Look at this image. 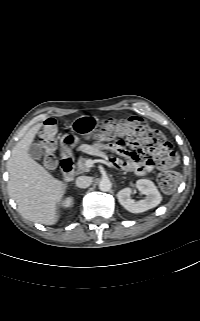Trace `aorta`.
Returning <instances> with one entry per match:
<instances>
[{
    "label": "aorta",
    "instance_id": "1",
    "mask_svg": "<svg viewBox=\"0 0 200 321\" xmlns=\"http://www.w3.org/2000/svg\"><path fill=\"white\" fill-rule=\"evenodd\" d=\"M112 187V183L108 178H103L99 182V189L103 192H108Z\"/></svg>",
    "mask_w": 200,
    "mask_h": 321
}]
</instances>
